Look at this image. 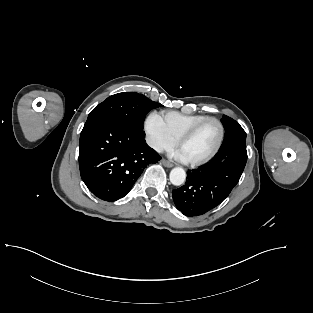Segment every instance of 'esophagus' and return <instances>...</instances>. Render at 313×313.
Segmentation results:
<instances>
[{
  "label": "esophagus",
  "mask_w": 313,
  "mask_h": 313,
  "mask_svg": "<svg viewBox=\"0 0 313 313\" xmlns=\"http://www.w3.org/2000/svg\"><path fill=\"white\" fill-rule=\"evenodd\" d=\"M161 163L165 166V167H168V168H171L173 167V164L165 159L161 160Z\"/></svg>",
  "instance_id": "34e87169"
}]
</instances>
